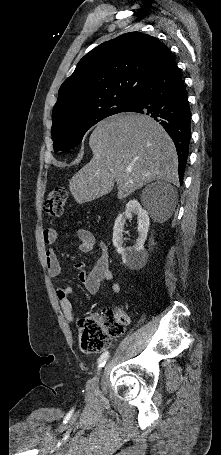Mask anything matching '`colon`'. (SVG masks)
Wrapping results in <instances>:
<instances>
[{
    "label": "colon",
    "instance_id": "1",
    "mask_svg": "<svg viewBox=\"0 0 221 455\" xmlns=\"http://www.w3.org/2000/svg\"><path fill=\"white\" fill-rule=\"evenodd\" d=\"M65 187L54 188L46 197L44 212L52 219L59 218L67 200ZM128 316L120 309L106 308L99 316H87L79 320L80 345L84 352L103 351L112 338L121 336L128 324Z\"/></svg>",
    "mask_w": 221,
    "mask_h": 455
}]
</instances>
